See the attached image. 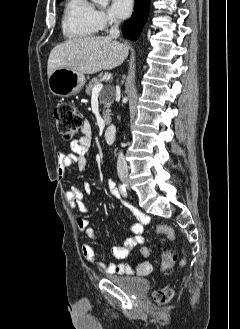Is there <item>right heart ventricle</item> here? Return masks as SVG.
<instances>
[{
  "label": "right heart ventricle",
  "mask_w": 240,
  "mask_h": 329,
  "mask_svg": "<svg viewBox=\"0 0 240 329\" xmlns=\"http://www.w3.org/2000/svg\"><path fill=\"white\" fill-rule=\"evenodd\" d=\"M95 8L89 0H68L62 16V32L68 39H84L98 31Z\"/></svg>",
  "instance_id": "1"
}]
</instances>
